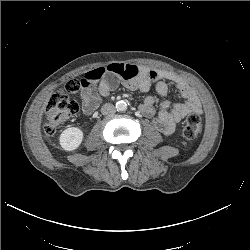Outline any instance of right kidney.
Instances as JSON below:
<instances>
[{"instance_id":"ca27d5eb","label":"right kidney","mask_w":250,"mask_h":250,"mask_svg":"<svg viewBox=\"0 0 250 250\" xmlns=\"http://www.w3.org/2000/svg\"><path fill=\"white\" fill-rule=\"evenodd\" d=\"M82 140L83 132L77 127L65 129L59 137L60 145L66 151H73L77 149L80 146Z\"/></svg>"}]
</instances>
